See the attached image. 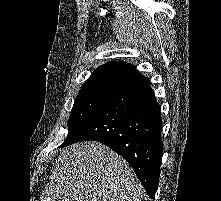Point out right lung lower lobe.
<instances>
[{
  "label": "right lung lower lobe",
  "instance_id": "1",
  "mask_svg": "<svg viewBox=\"0 0 221 201\" xmlns=\"http://www.w3.org/2000/svg\"><path fill=\"white\" fill-rule=\"evenodd\" d=\"M160 105L149 80L141 76L119 89L61 147L101 142L125 158L154 199L163 153Z\"/></svg>",
  "mask_w": 221,
  "mask_h": 201
}]
</instances>
